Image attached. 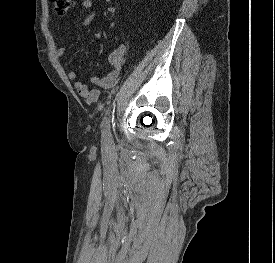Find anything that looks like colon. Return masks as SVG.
I'll return each instance as SVG.
<instances>
[{
  "label": "colon",
  "instance_id": "obj_1",
  "mask_svg": "<svg viewBox=\"0 0 275 263\" xmlns=\"http://www.w3.org/2000/svg\"><path fill=\"white\" fill-rule=\"evenodd\" d=\"M54 10L57 14L66 13L73 5L74 0H52Z\"/></svg>",
  "mask_w": 275,
  "mask_h": 263
}]
</instances>
